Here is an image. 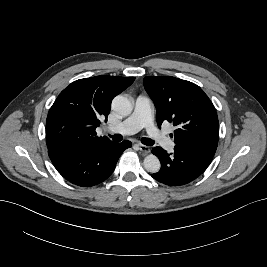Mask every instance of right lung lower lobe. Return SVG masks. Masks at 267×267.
Wrapping results in <instances>:
<instances>
[{
	"label": "right lung lower lobe",
	"instance_id": "obj_1",
	"mask_svg": "<svg viewBox=\"0 0 267 267\" xmlns=\"http://www.w3.org/2000/svg\"><path fill=\"white\" fill-rule=\"evenodd\" d=\"M131 142L106 143L73 150L48 151L58 172L69 182L91 187L106 180L114 171L122 152Z\"/></svg>",
	"mask_w": 267,
	"mask_h": 267
}]
</instances>
